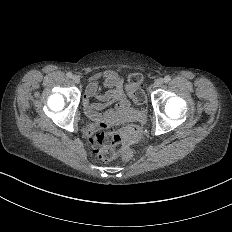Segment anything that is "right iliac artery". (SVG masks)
<instances>
[{
    "label": "right iliac artery",
    "mask_w": 232,
    "mask_h": 232,
    "mask_svg": "<svg viewBox=\"0 0 232 232\" xmlns=\"http://www.w3.org/2000/svg\"><path fill=\"white\" fill-rule=\"evenodd\" d=\"M66 75H67V77H69V78L72 77V73H71V72H68Z\"/></svg>",
    "instance_id": "82829eb1"
}]
</instances>
